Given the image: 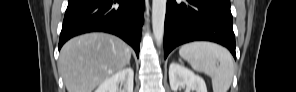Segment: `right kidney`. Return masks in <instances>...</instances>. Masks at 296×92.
Masks as SVG:
<instances>
[{
  "mask_svg": "<svg viewBox=\"0 0 296 92\" xmlns=\"http://www.w3.org/2000/svg\"><path fill=\"white\" fill-rule=\"evenodd\" d=\"M134 71L131 68L121 69L105 79L95 92H133ZM123 88H119V84Z\"/></svg>",
  "mask_w": 296,
  "mask_h": 92,
  "instance_id": "obj_1",
  "label": "right kidney"
}]
</instances>
